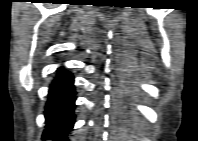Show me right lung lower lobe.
Here are the masks:
<instances>
[{
  "label": "right lung lower lobe",
  "instance_id": "98d812e1",
  "mask_svg": "<svg viewBox=\"0 0 198 141\" xmlns=\"http://www.w3.org/2000/svg\"><path fill=\"white\" fill-rule=\"evenodd\" d=\"M75 100L74 77L70 71L61 66L57 69L49 87L43 138L67 140L75 122Z\"/></svg>",
  "mask_w": 198,
  "mask_h": 141
}]
</instances>
